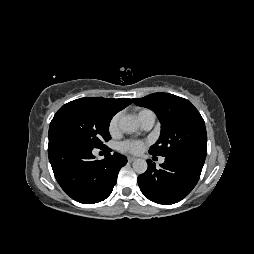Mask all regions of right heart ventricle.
<instances>
[{
  "label": "right heart ventricle",
  "instance_id": "obj_1",
  "mask_svg": "<svg viewBox=\"0 0 254 254\" xmlns=\"http://www.w3.org/2000/svg\"><path fill=\"white\" fill-rule=\"evenodd\" d=\"M146 113H153L152 111L148 110V109H142L139 111L138 113V117L142 114H146Z\"/></svg>",
  "mask_w": 254,
  "mask_h": 254
}]
</instances>
